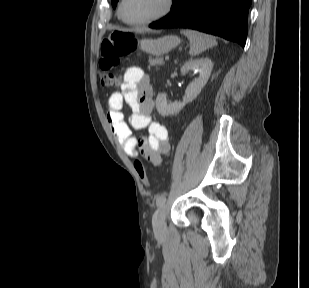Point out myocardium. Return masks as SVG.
Masks as SVG:
<instances>
[{"instance_id":"myocardium-1","label":"myocardium","mask_w":309,"mask_h":288,"mask_svg":"<svg viewBox=\"0 0 309 288\" xmlns=\"http://www.w3.org/2000/svg\"><path fill=\"white\" fill-rule=\"evenodd\" d=\"M125 1L126 0L120 1L119 7H118V15H119L120 19L125 24H127L129 26H135V27L149 25V24L155 23V22L165 18L166 16H168L172 12V10L174 8V3H175V0H164L163 9L159 13H157L156 15H154L150 18H147L145 20H141V21H129V20L125 19L124 15H123V7H124V4H125Z\"/></svg>"}]
</instances>
